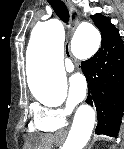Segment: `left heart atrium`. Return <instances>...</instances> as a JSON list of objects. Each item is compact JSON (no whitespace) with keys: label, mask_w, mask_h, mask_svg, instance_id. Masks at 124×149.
<instances>
[{"label":"left heart atrium","mask_w":124,"mask_h":149,"mask_svg":"<svg viewBox=\"0 0 124 149\" xmlns=\"http://www.w3.org/2000/svg\"><path fill=\"white\" fill-rule=\"evenodd\" d=\"M87 93V84L83 76L76 74L69 80V103L77 105L81 103Z\"/></svg>","instance_id":"obj_1"}]
</instances>
